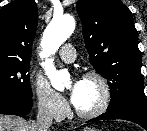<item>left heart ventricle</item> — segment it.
Segmentation results:
<instances>
[{
    "label": "left heart ventricle",
    "instance_id": "left-heart-ventricle-1",
    "mask_svg": "<svg viewBox=\"0 0 147 131\" xmlns=\"http://www.w3.org/2000/svg\"><path fill=\"white\" fill-rule=\"evenodd\" d=\"M100 101L101 90L99 85L93 80L83 79V89L76 107L82 111H89L97 107Z\"/></svg>",
    "mask_w": 147,
    "mask_h": 131
}]
</instances>
